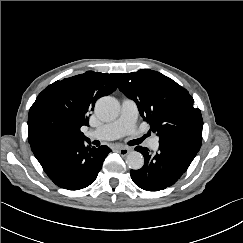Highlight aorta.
I'll list each match as a JSON object with an SVG mask.
<instances>
[{
	"label": "aorta",
	"instance_id": "obj_1",
	"mask_svg": "<svg viewBox=\"0 0 243 243\" xmlns=\"http://www.w3.org/2000/svg\"><path fill=\"white\" fill-rule=\"evenodd\" d=\"M95 113L102 121H112L119 114L118 102L109 96L102 97L96 102ZM126 164L130 169L139 170L144 165V157L140 152L131 151L126 156Z\"/></svg>",
	"mask_w": 243,
	"mask_h": 243
}]
</instances>
